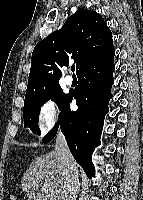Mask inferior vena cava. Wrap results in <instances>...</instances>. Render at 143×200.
<instances>
[{
  "mask_svg": "<svg viewBox=\"0 0 143 200\" xmlns=\"http://www.w3.org/2000/svg\"><path fill=\"white\" fill-rule=\"evenodd\" d=\"M55 151L60 155L61 163L65 171L63 200H76L79 187L78 170L75 160L68 148L65 136L60 130L56 137Z\"/></svg>",
  "mask_w": 143,
  "mask_h": 200,
  "instance_id": "602c4592",
  "label": "inferior vena cava"
}]
</instances>
